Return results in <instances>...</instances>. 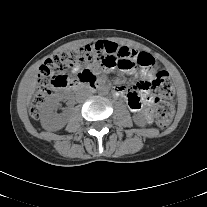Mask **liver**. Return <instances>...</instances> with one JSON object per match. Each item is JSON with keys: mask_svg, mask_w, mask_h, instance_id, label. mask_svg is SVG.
Listing matches in <instances>:
<instances>
[{"mask_svg": "<svg viewBox=\"0 0 207 207\" xmlns=\"http://www.w3.org/2000/svg\"><path fill=\"white\" fill-rule=\"evenodd\" d=\"M37 73L38 71L32 73L30 77L28 78V80L26 81V84L24 86L23 96L27 103L30 102L32 95L36 89L37 79H38Z\"/></svg>", "mask_w": 207, "mask_h": 207, "instance_id": "6515ba94", "label": "liver"}]
</instances>
